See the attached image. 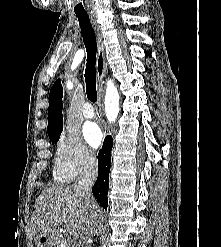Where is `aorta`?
Listing matches in <instances>:
<instances>
[{"label": "aorta", "mask_w": 221, "mask_h": 247, "mask_svg": "<svg viewBox=\"0 0 221 247\" xmlns=\"http://www.w3.org/2000/svg\"><path fill=\"white\" fill-rule=\"evenodd\" d=\"M67 88L72 89L73 83L71 81L67 82ZM119 93L114 83L110 80L107 83V90L105 96V110L109 120H115L119 113Z\"/></svg>", "instance_id": "1"}]
</instances>
